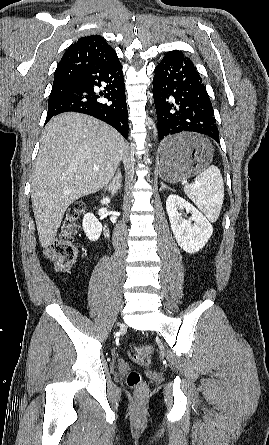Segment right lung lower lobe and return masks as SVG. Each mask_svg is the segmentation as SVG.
<instances>
[{
	"instance_id": "1",
	"label": "right lung lower lobe",
	"mask_w": 269,
	"mask_h": 445,
	"mask_svg": "<svg viewBox=\"0 0 269 445\" xmlns=\"http://www.w3.org/2000/svg\"><path fill=\"white\" fill-rule=\"evenodd\" d=\"M104 86L99 94L94 87ZM66 95L48 104L45 123L63 112H79L94 116L117 129L124 138L128 136V110L122 66L118 57L101 63L80 74L66 86ZM103 96L110 103H101Z\"/></svg>"
}]
</instances>
